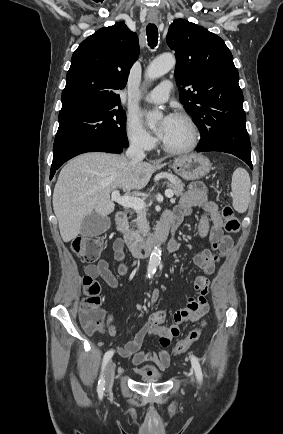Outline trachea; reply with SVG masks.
<instances>
[{"instance_id":"obj_1","label":"trachea","mask_w":283,"mask_h":434,"mask_svg":"<svg viewBox=\"0 0 283 434\" xmlns=\"http://www.w3.org/2000/svg\"><path fill=\"white\" fill-rule=\"evenodd\" d=\"M146 33H147V41L148 45L151 48H154L157 46L158 43V29L155 24H148L146 27Z\"/></svg>"}]
</instances>
